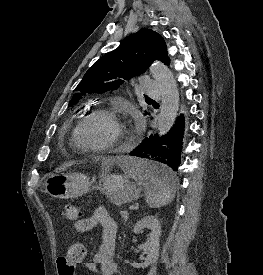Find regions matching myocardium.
Listing matches in <instances>:
<instances>
[{"label": "myocardium", "mask_w": 263, "mask_h": 275, "mask_svg": "<svg viewBox=\"0 0 263 275\" xmlns=\"http://www.w3.org/2000/svg\"><path fill=\"white\" fill-rule=\"evenodd\" d=\"M95 117H105L109 119L116 128L115 137L106 144L103 145H88L84 144L79 136L81 128L89 120ZM131 137V131L125 122L119 117V115L112 109L105 107H98L90 110L84 116H82L76 123L72 132V142L74 146L85 153H109L114 151H119L126 147Z\"/></svg>", "instance_id": "myocardium-1"}]
</instances>
